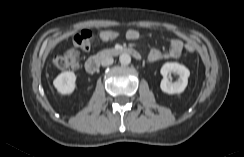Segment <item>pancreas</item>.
<instances>
[{
  "mask_svg": "<svg viewBox=\"0 0 244 157\" xmlns=\"http://www.w3.org/2000/svg\"><path fill=\"white\" fill-rule=\"evenodd\" d=\"M106 51L104 50V51H102V52H100L99 54H103V53H105Z\"/></svg>",
  "mask_w": 244,
  "mask_h": 157,
  "instance_id": "obj_1",
  "label": "pancreas"
}]
</instances>
